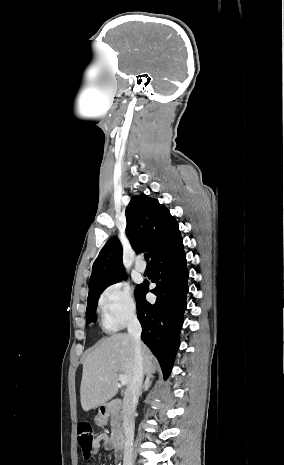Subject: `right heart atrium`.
<instances>
[{"label":"right heart atrium","instance_id":"d8ad5b80","mask_svg":"<svg viewBox=\"0 0 284 465\" xmlns=\"http://www.w3.org/2000/svg\"><path fill=\"white\" fill-rule=\"evenodd\" d=\"M98 309L117 328L138 316V308L128 285L118 282L105 288L98 298Z\"/></svg>","mask_w":284,"mask_h":465}]
</instances>
